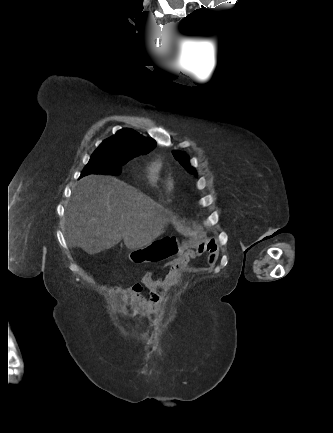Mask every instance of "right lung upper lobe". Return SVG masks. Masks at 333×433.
I'll return each mask as SVG.
<instances>
[{
    "label": "right lung upper lobe",
    "mask_w": 333,
    "mask_h": 433,
    "mask_svg": "<svg viewBox=\"0 0 333 433\" xmlns=\"http://www.w3.org/2000/svg\"><path fill=\"white\" fill-rule=\"evenodd\" d=\"M156 146L155 140L147 138L132 129L124 128L106 139L98 147L116 154L143 155Z\"/></svg>",
    "instance_id": "1"
}]
</instances>
